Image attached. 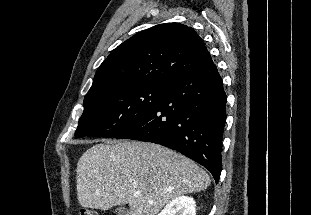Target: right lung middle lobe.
<instances>
[{
  "label": "right lung middle lobe",
  "mask_w": 311,
  "mask_h": 215,
  "mask_svg": "<svg viewBox=\"0 0 311 215\" xmlns=\"http://www.w3.org/2000/svg\"><path fill=\"white\" fill-rule=\"evenodd\" d=\"M164 92V84H139L103 89L86 96L75 136L116 137L154 110Z\"/></svg>",
  "instance_id": "obj_1"
}]
</instances>
